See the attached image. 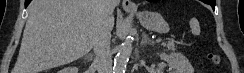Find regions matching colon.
I'll return each mask as SVG.
<instances>
[{
  "label": "colon",
  "instance_id": "1",
  "mask_svg": "<svg viewBox=\"0 0 244 73\" xmlns=\"http://www.w3.org/2000/svg\"><path fill=\"white\" fill-rule=\"evenodd\" d=\"M212 60H213V62L217 63V62H218V57L215 56V55H213V56H212Z\"/></svg>",
  "mask_w": 244,
  "mask_h": 73
}]
</instances>
